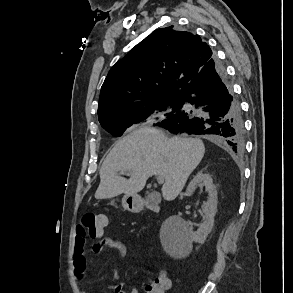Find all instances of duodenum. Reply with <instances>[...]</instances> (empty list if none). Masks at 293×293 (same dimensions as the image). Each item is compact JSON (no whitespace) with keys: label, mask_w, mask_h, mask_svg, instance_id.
Wrapping results in <instances>:
<instances>
[{"label":"duodenum","mask_w":293,"mask_h":293,"mask_svg":"<svg viewBox=\"0 0 293 293\" xmlns=\"http://www.w3.org/2000/svg\"><path fill=\"white\" fill-rule=\"evenodd\" d=\"M144 208H151V209H154V210H158L159 209V205L158 204H155V205H149V204H143V203H136V210L137 211H140Z\"/></svg>","instance_id":"410a0bca"}]
</instances>
